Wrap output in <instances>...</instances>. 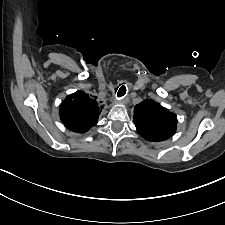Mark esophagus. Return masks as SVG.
Instances as JSON below:
<instances>
[{
    "mask_svg": "<svg viewBox=\"0 0 225 225\" xmlns=\"http://www.w3.org/2000/svg\"><path fill=\"white\" fill-rule=\"evenodd\" d=\"M118 100H120V101H122L123 103H125V102L127 101V98H124V97L119 98V97H118Z\"/></svg>",
    "mask_w": 225,
    "mask_h": 225,
    "instance_id": "obj_1",
    "label": "esophagus"
}]
</instances>
